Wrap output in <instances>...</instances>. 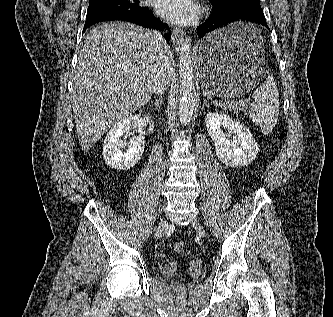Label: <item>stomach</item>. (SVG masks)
Wrapping results in <instances>:
<instances>
[{
  "label": "stomach",
  "instance_id": "stomach-1",
  "mask_svg": "<svg viewBox=\"0 0 333 317\" xmlns=\"http://www.w3.org/2000/svg\"><path fill=\"white\" fill-rule=\"evenodd\" d=\"M263 45L257 24L236 22L207 33L197 57L201 88L229 99L248 95L259 82H270L269 71H264Z\"/></svg>",
  "mask_w": 333,
  "mask_h": 317
}]
</instances>
